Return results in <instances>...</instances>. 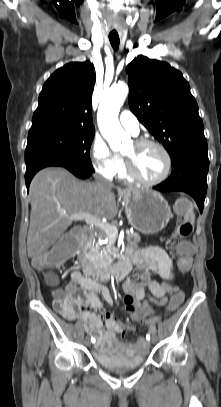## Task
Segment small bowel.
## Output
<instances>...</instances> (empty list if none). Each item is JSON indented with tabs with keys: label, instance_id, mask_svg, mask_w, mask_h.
Here are the masks:
<instances>
[{
	"label": "small bowel",
	"instance_id": "c3829d8e",
	"mask_svg": "<svg viewBox=\"0 0 221 407\" xmlns=\"http://www.w3.org/2000/svg\"><path fill=\"white\" fill-rule=\"evenodd\" d=\"M128 257L134 265L142 270L138 279H132L124 284L125 297L123 302L127 311L135 305H150L142 300L147 292L150 301L160 306H168L167 296L175 292L176 275L171 277L168 271L175 269L172 259L165 250L157 246H149L141 249L129 248ZM176 270V269H175ZM71 280L68 289L75 292L79 299L73 305L70 312L63 315L69 320H81L86 332L94 337V346L98 352L134 356L144 353L147 342L139 339L135 343H127L122 338L127 332L133 330L131 325L120 322L110 311L104 313L105 328L97 314L102 310V304L98 295H101L108 305H112V296L104 285L77 269L71 271ZM160 277L161 281L157 279ZM131 321L136 322L133 318ZM147 320V319H146ZM144 321L149 324L150 322Z\"/></svg>",
	"mask_w": 221,
	"mask_h": 407
}]
</instances>
